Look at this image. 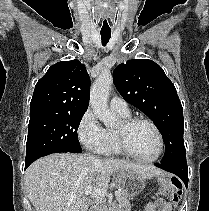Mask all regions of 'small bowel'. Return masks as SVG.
<instances>
[{"instance_id": "small-bowel-1", "label": "small bowel", "mask_w": 209, "mask_h": 211, "mask_svg": "<svg viewBox=\"0 0 209 211\" xmlns=\"http://www.w3.org/2000/svg\"><path fill=\"white\" fill-rule=\"evenodd\" d=\"M145 211H172V207L163 199H156L147 204Z\"/></svg>"}]
</instances>
